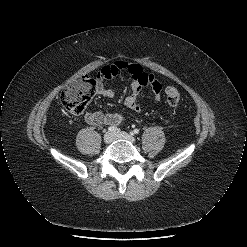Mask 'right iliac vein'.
Here are the masks:
<instances>
[{"instance_id":"right-iliac-vein-1","label":"right iliac vein","mask_w":247,"mask_h":247,"mask_svg":"<svg viewBox=\"0 0 247 247\" xmlns=\"http://www.w3.org/2000/svg\"><path fill=\"white\" fill-rule=\"evenodd\" d=\"M114 140V134L112 132H106L104 135V142L106 144L111 143Z\"/></svg>"}]
</instances>
